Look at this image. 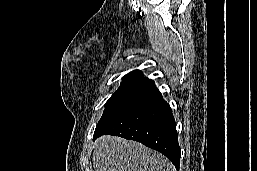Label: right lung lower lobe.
<instances>
[{
  "label": "right lung lower lobe",
  "mask_w": 257,
  "mask_h": 171,
  "mask_svg": "<svg viewBox=\"0 0 257 171\" xmlns=\"http://www.w3.org/2000/svg\"><path fill=\"white\" fill-rule=\"evenodd\" d=\"M106 134L141 142L164 154L179 170L181 151L175 119L155 86L96 128L93 139Z\"/></svg>",
  "instance_id": "1"
}]
</instances>
